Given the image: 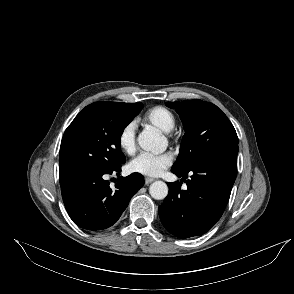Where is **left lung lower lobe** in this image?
<instances>
[{
	"instance_id": "left-lung-lower-lobe-1",
	"label": "left lung lower lobe",
	"mask_w": 294,
	"mask_h": 294,
	"mask_svg": "<svg viewBox=\"0 0 294 294\" xmlns=\"http://www.w3.org/2000/svg\"><path fill=\"white\" fill-rule=\"evenodd\" d=\"M238 145L217 150L188 172L171 170L187 184L167 183L168 196L159 206L163 226L179 238L200 236L220 219L237 175ZM192 174L189 180L187 174Z\"/></svg>"
}]
</instances>
